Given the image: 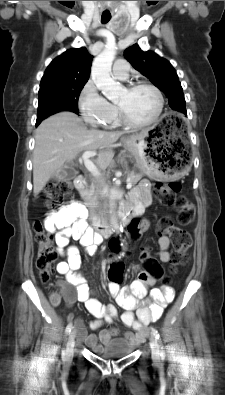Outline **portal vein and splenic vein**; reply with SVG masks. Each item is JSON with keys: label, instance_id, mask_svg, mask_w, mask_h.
Returning a JSON list of instances; mask_svg holds the SVG:
<instances>
[{"label": "portal vein and splenic vein", "instance_id": "18ae733b", "mask_svg": "<svg viewBox=\"0 0 225 395\" xmlns=\"http://www.w3.org/2000/svg\"><path fill=\"white\" fill-rule=\"evenodd\" d=\"M96 152L95 151H86L82 155V159L84 162L85 167L89 172H91L95 177L100 176V172L97 169V167L94 165V163L90 160V157L95 156ZM127 189H130L132 187V183L130 180H127Z\"/></svg>", "mask_w": 225, "mask_h": 395}]
</instances>
